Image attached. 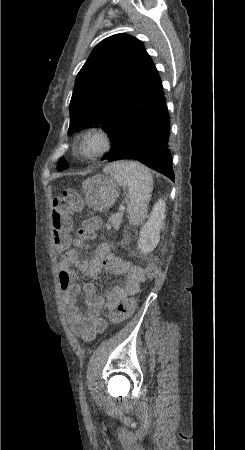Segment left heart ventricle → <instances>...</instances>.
Instances as JSON below:
<instances>
[{"instance_id":"left-heart-ventricle-1","label":"left heart ventricle","mask_w":245,"mask_h":450,"mask_svg":"<svg viewBox=\"0 0 245 450\" xmlns=\"http://www.w3.org/2000/svg\"><path fill=\"white\" fill-rule=\"evenodd\" d=\"M99 145H100V143L98 140H92L86 145L85 150L87 152H93L98 149Z\"/></svg>"}]
</instances>
